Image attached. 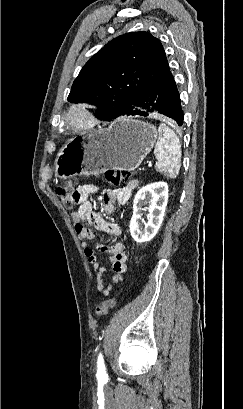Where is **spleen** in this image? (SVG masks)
I'll return each mask as SVG.
<instances>
[{
  "mask_svg": "<svg viewBox=\"0 0 243 409\" xmlns=\"http://www.w3.org/2000/svg\"><path fill=\"white\" fill-rule=\"evenodd\" d=\"M158 140L154 154L157 159L156 169L175 178L181 167V144L176 133L165 124L158 127Z\"/></svg>",
  "mask_w": 243,
  "mask_h": 409,
  "instance_id": "obj_1",
  "label": "spleen"
}]
</instances>
